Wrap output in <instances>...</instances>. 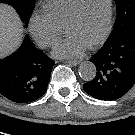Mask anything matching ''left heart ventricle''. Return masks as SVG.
Here are the masks:
<instances>
[{"mask_svg":"<svg viewBox=\"0 0 135 135\" xmlns=\"http://www.w3.org/2000/svg\"><path fill=\"white\" fill-rule=\"evenodd\" d=\"M108 16V0H84L78 15L64 32L89 45L103 33Z\"/></svg>","mask_w":135,"mask_h":135,"instance_id":"left-heart-ventricle-1","label":"left heart ventricle"}]
</instances>
